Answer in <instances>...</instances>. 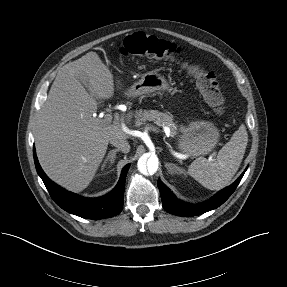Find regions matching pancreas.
I'll return each instance as SVG.
<instances>
[{
    "instance_id": "1",
    "label": "pancreas",
    "mask_w": 287,
    "mask_h": 287,
    "mask_svg": "<svg viewBox=\"0 0 287 287\" xmlns=\"http://www.w3.org/2000/svg\"><path fill=\"white\" fill-rule=\"evenodd\" d=\"M146 121H153L159 126H167L170 128L171 136L177 134V125L173 122L171 114L159 112L157 110H139L136 113V126L145 124Z\"/></svg>"
}]
</instances>
